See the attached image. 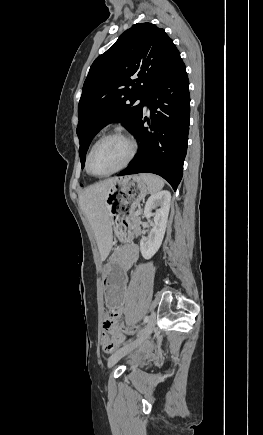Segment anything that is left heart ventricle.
I'll return each instance as SVG.
<instances>
[{
    "mask_svg": "<svg viewBox=\"0 0 263 435\" xmlns=\"http://www.w3.org/2000/svg\"><path fill=\"white\" fill-rule=\"evenodd\" d=\"M129 150L128 143L120 138L105 139L96 146L91 155V169L98 174L110 172L125 162Z\"/></svg>",
    "mask_w": 263,
    "mask_h": 435,
    "instance_id": "obj_1",
    "label": "left heart ventricle"
}]
</instances>
